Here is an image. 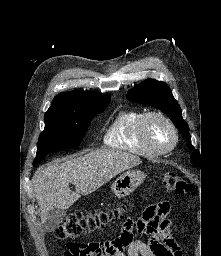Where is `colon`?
Segmentation results:
<instances>
[{"instance_id":"5ec220e1","label":"colon","mask_w":221,"mask_h":256,"mask_svg":"<svg viewBox=\"0 0 221 256\" xmlns=\"http://www.w3.org/2000/svg\"><path fill=\"white\" fill-rule=\"evenodd\" d=\"M163 185L167 190L178 194H185L190 191L189 183L178 174L172 172L163 176ZM124 210V206H118L93 213L75 211L70 213L56 228L55 235L61 240L75 239L84 231L101 229L108 223L122 218ZM67 249L70 252H77L78 246L74 243H68Z\"/></svg>"}]
</instances>
